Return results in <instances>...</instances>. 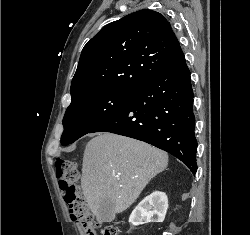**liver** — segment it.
Listing matches in <instances>:
<instances>
[{"mask_svg":"<svg viewBox=\"0 0 250 235\" xmlns=\"http://www.w3.org/2000/svg\"><path fill=\"white\" fill-rule=\"evenodd\" d=\"M167 166L168 155L158 148L122 135L97 134L86 145L81 177L91 212L100 221V204L107 198L115 213L125 211Z\"/></svg>","mask_w":250,"mask_h":235,"instance_id":"liver-1","label":"liver"}]
</instances>
